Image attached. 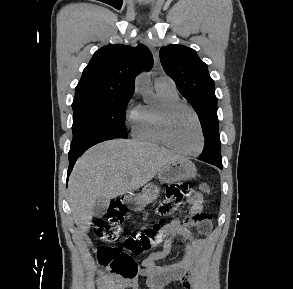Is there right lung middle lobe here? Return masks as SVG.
<instances>
[{"mask_svg": "<svg viewBox=\"0 0 293 289\" xmlns=\"http://www.w3.org/2000/svg\"><path fill=\"white\" fill-rule=\"evenodd\" d=\"M131 97L74 101L73 140L70 149L93 146L115 138H127L125 109Z\"/></svg>", "mask_w": 293, "mask_h": 289, "instance_id": "dd1d6c3e", "label": "right lung middle lobe"}]
</instances>
